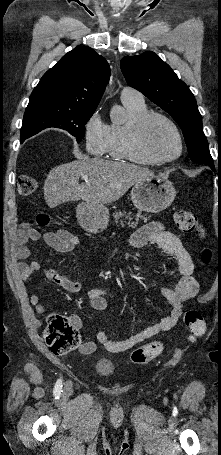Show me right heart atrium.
Here are the masks:
<instances>
[{
  "instance_id": "d8ad5b80",
  "label": "right heart atrium",
  "mask_w": 221,
  "mask_h": 455,
  "mask_svg": "<svg viewBox=\"0 0 221 455\" xmlns=\"http://www.w3.org/2000/svg\"><path fill=\"white\" fill-rule=\"evenodd\" d=\"M109 125L103 120L97 110L90 115L84 125V143L86 150L93 155H103L106 152Z\"/></svg>"
}]
</instances>
